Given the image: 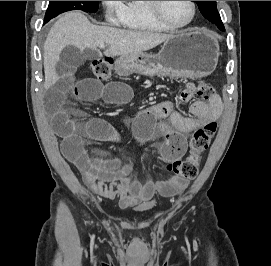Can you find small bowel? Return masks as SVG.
Listing matches in <instances>:
<instances>
[{
    "mask_svg": "<svg viewBox=\"0 0 271 266\" xmlns=\"http://www.w3.org/2000/svg\"><path fill=\"white\" fill-rule=\"evenodd\" d=\"M81 61L73 55L63 57L48 69L50 89L45 105L51 115L53 127L61 137V151L81 172L85 185L107 199H118L121 208L136 205L149 206L156 192L172 195L182 192L188 180L177 177L154 182L151 179H132L133 163L119 157L102 159L93 156L85 138L98 142H118L120 135L110 122L91 118L77 122L67 110V99L76 96L86 101L101 100L108 104H126L132 96L130 87L122 82L102 83L92 78L77 79ZM180 98V97H179ZM190 97L180 98L187 102ZM222 112V101L213 96L209 102L195 101L185 115L172 102L164 101L140 111L131 121L140 142L154 136L162 137L159 143L161 159L173 161L186 151L187 135L208 123L216 122ZM167 119L166 122H162Z\"/></svg>",
    "mask_w": 271,
    "mask_h": 266,
    "instance_id": "1",
    "label": "small bowel"
}]
</instances>
